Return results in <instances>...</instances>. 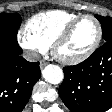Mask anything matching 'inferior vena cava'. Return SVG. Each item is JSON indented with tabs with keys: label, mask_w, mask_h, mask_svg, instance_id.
<instances>
[{
	"label": "inferior vena cava",
	"mask_w": 112,
	"mask_h": 112,
	"mask_svg": "<svg viewBox=\"0 0 112 112\" xmlns=\"http://www.w3.org/2000/svg\"><path fill=\"white\" fill-rule=\"evenodd\" d=\"M23 57L30 62H35L40 59L39 53L35 51H27L23 54Z\"/></svg>",
	"instance_id": "1"
}]
</instances>
